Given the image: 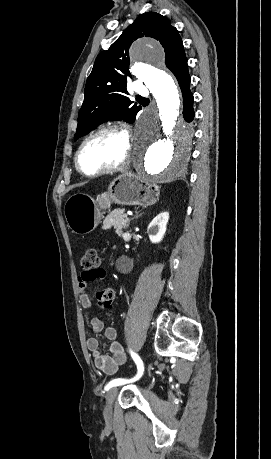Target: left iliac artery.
<instances>
[{
    "label": "left iliac artery",
    "instance_id": "left-iliac-artery-1",
    "mask_svg": "<svg viewBox=\"0 0 271 459\" xmlns=\"http://www.w3.org/2000/svg\"><path fill=\"white\" fill-rule=\"evenodd\" d=\"M130 354H131L133 360L135 361V363L137 364V369H138L137 373L135 374V377H136L135 381L136 382H141V377L144 376L143 362L140 359V357L136 353H134L133 351H130ZM127 382H129V380L121 379V378L114 379V380L110 381L106 385L105 390H108L109 388H111L113 386H119V385H121L122 387H127L128 384H130V383H127Z\"/></svg>",
    "mask_w": 271,
    "mask_h": 459
}]
</instances>
